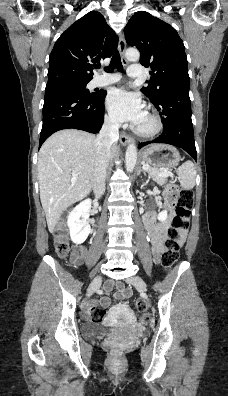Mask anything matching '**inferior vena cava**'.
Segmentation results:
<instances>
[{
  "mask_svg": "<svg viewBox=\"0 0 228 396\" xmlns=\"http://www.w3.org/2000/svg\"><path fill=\"white\" fill-rule=\"evenodd\" d=\"M120 124L117 121L105 119L104 124L97 136L98 154L95 162L92 187L96 195L105 191V179L111 148L119 139Z\"/></svg>",
  "mask_w": 228,
  "mask_h": 396,
  "instance_id": "602c4592",
  "label": "inferior vena cava"
}]
</instances>
